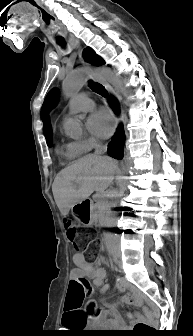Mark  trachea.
Returning a JSON list of instances; mask_svg holds the SVG:
<instances>
[{"label":"trachea","mask_w":193,"mask_h":336,"mask_svg":"<svg viewBox=\"0 0 193 336\" xmlns=\"http://www.w3.org/2000/svg\"><path fill=\"white\" fill-rule=\"evenodd\" d=\"M59 44H60L62 47H64V46L66 45V43H65L64 40H60V41H59ZM89 86H90V88H91L94 92L100 94L101 96H106V95H107V91L105 90V88H104V86H103L102 84H99V83H96V82H92V81H91V82L89 83Z\"/></svg>","instance_id":"obj_1"}]
</instances>
